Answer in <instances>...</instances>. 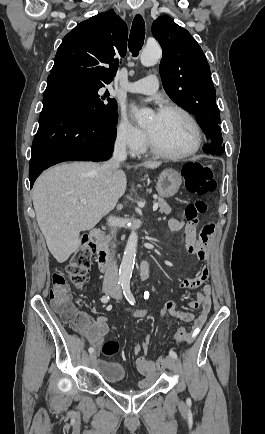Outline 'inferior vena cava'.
<instances>
[{
  "instance_id": "inferior-vena-cava-1",
  "label": "inferior vena cava",
  "mask_w": 265,
  "mask_h": 434,
  "mask_svg": "<svg viewBox=\"0 0 265 434\" xmlns=\"http://www.w3.org/2000/svg\"><path fill=\"white\" fill-rule=\"evenodd\" d=\"M126 158L127 154L125 140H116L112 158H110L108 162H104V164H101V166H99L98 168L99 180H101L103 184H108L109 180H111L113 176L114 170H117V168H119L120 162H124ZM108 226H111V228L112 226H114L112 218H108ZM104 280L105 282H110V284H116V286H118V266L116 260H113V254L112 256H110L107 262V270L104 274Z\"/></svg>"
}]
</instances>
